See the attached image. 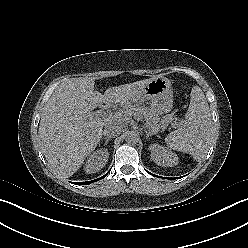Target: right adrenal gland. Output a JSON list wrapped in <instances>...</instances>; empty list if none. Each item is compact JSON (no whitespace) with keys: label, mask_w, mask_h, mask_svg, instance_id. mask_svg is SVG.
Instances as JSON below:
<instances>
[{"label":"right adrenal gland","mask_w":248,"mask_h":248,"mask_svg":"<svg viewBox=\"0 0 248 248\" xmlns=\"http://www.w3.org/2000/svg\"><path fill=\"white\" fill-rule=\"evenodd\" d=\"M112 139V137H103L102 139H101V141H103V140H105V143H104V146H106L107 144H108V142L110 141Z\"/></svg>","instance_id":"2a0ac1e0"}]
</instances>
